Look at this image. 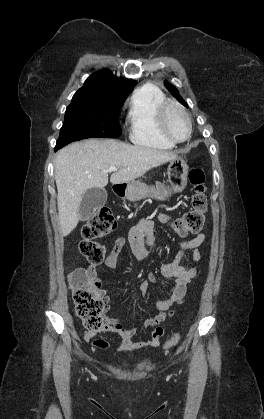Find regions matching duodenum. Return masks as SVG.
Here are the masks:
<instances>
[{
  "mask_svg": "<svg viewBox=\"0 0 264 419\" xmlns=\"http://www.w3.org/2000/svg\"><path fill=\"white\" fill-rule=\"evenodd\" d=\"M124 192H125V186H123V185H117L115 187V193H116V195L123 196L124 195Z\"/></svg>",
  "mask_w": 264,
  "mask_h": 419,
  "instance_id": "1",
  "label": "duodenum"
}]
</instances>
